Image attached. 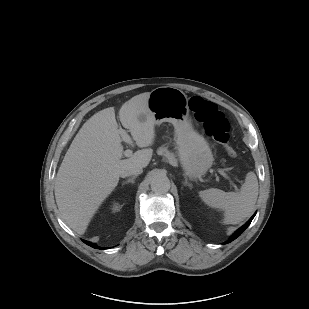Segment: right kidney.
<instances>
[{
  "label": "right kidney",
  "instance_id": "right-kidney-1",
  "mask_svg": "<svg viewBox=\"0 0 309 309\" xmlns=\"http://www.w3.org/2000/svg\"><path fill=\"white\" fill-rule=\"evenodd\" d=\"M112 209H113V211H118L119 210L118 204H115Z\"/></svg>",
  "mask_w": 309,
  "mask_h": 309
}]
</instances>
